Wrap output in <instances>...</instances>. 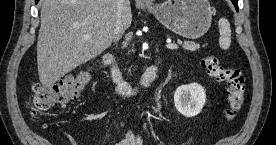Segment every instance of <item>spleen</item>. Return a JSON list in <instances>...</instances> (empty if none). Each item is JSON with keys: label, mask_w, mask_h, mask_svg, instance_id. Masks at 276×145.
<instances>
[{"label": "spleen", "mask_w": 276, "mask_h": 145, "mask_svg": "<svg viewBox=\"0 0 276 145\" xmlns=\"http://www.w3.org/2000/svg\"><path fill=\"white\" fill-rule=\"evenodd\" d=\"M219 45L222 49L227 50L231 44V28L230 23L226 18L219 19Z\"/></svg>", "instance_id": "spleen-1"}]
</instances>
